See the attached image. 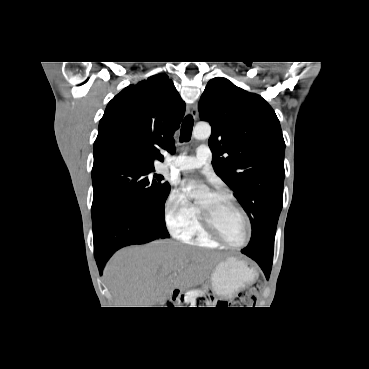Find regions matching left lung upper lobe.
<instances>
[{"mask_svg":"<svg viewBox=\"0 0 369 369\" xmlns=\"http://www.w3.org/2000/svg\"><path fill=\"white\" fill-rule=\"evenodd\" d=\"M199 112L212 126L213 168L250 218L252 236L242 253L272 260L285 176L279 120L261 96L223 77L208 82Z\"/></svg>","mask_w":369,"mask_h":369,"instance_id":"left-lung-upper-lobe-1","label":"left lung upper lobe"}]
</instances>
